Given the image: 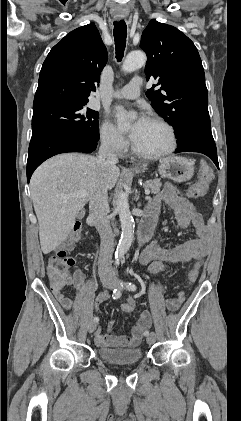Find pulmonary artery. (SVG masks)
I'll return each instance as SVG.
<instances>
[{
    "instance_id": "e3ab8cb5",
    "label": "pulmonary artery",
    "mask_w": 241,
    "mask_h": 421,
    "mask_svg": "<svg viewBox=\"0 0 241 421\" xmlns=\"http://www.w3.org/2000/svg\"><path fill=\"white\" fill-rule=\"evenodd\" d=\"M142 80L139 77L133 78L127 85L113 94L115 98L136 99L140 95Z\"/></svg>"
}]
</instances>
